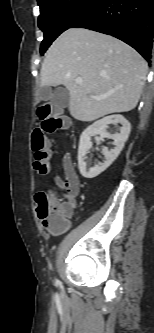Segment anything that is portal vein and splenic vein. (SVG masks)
<instances>
[{"instance_id": "obj_1", "label": "portal vein and splenic vein", "mask_w": 154, "mask_h": 333, "mask_svg": "<svg viewBox=\"0 0 154 333\" xmlns=\"http://www.w3.org/2000/svg\"><path fill=\"white\" fill-rule=\"evenodd\" d=\"M82 79L81 78H78V79H76V83L77 84H82ZM93 99H96V100H101V99H103L104 98V96H91Z\"/></svg>"}]
</instances>
